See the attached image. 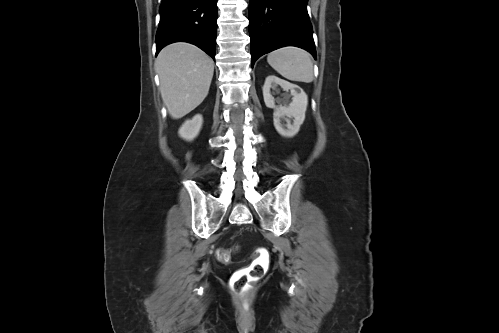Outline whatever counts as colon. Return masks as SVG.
Segmentation results:
<instances>
[{"label":"colon","mask_w":499,"mask_h":333,"mask_svg":"<svg viewBox=\"0 0 499 333\" xmlns=\"http://www.w3.org/2000/svg\"><path fill=\"white\" fill-rule=\"evenodd\" d=\"M219 261L227 263L231 260L232 250L228 248L219 249L216 253ZM268 266V253L265 250L259 252L258 258L246 269L238 271L232 279V289L243 296L249 289L252 281L261 278Z\"/></svg>","instance_id":"5ec220e1"}]
</instances>
